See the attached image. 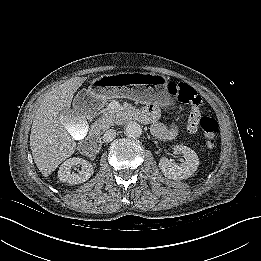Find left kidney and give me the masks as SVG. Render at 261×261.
I'll return each instance as SVG.
<instances>
[{"mask_svg":"<svg viewBox=\"0 0 261 261\" xmlns=\"http://www.w3.org/2000/svg\"><path fill=\"white\" fill-rule=\"evenodd\" d=\"M175 149L184 155L185 161L180 164L172 162L166 157L159 161V169L163 175L173 180H183L191 177L199 166V158L194 150L187 146L177 145Z\"/></svg>","mask_w":261,"mask_h":261,"instance_id":"obj_1","label":"left kidney"}]
</instances>
